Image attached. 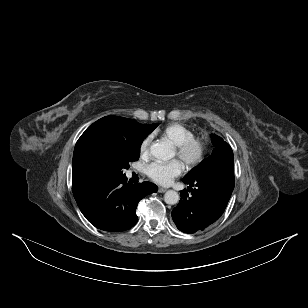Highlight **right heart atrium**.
I'll list each match as a JSON object with an SVG mask.
<instances>
[{
	"mask_svg": "<svg viewBox=\"0 0 308 308\" xmlns=\"http://www.w3.org/2000/svg\"><path fill=\"white\" fill-rule=\"evenodd\" d=\"M150 142L151 138L149 136L144 138V140L141 142L139 152L142 157H146L148 155Z\"/></svg>",
	"mask_w": 308,
	"mask_h": 308,
	"instance_id": "1",
	"label": "right heart atrium"
}]
</instances>
